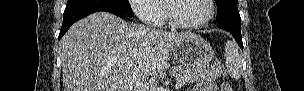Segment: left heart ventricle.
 I'll return each mask as SVG.
<instances>
[{"label":"left heart ventricle","instance_id":"obj_1","mask_svg":"<svg viewBox=\"0 0 304 91\" xmlns=\"http://www.w3.org/2000/svg\"><path fill=\"white\" fill-rule=\"evenodd\" d=\"M209 13L205 0H180L174 4V15L183 23L196 24L202 22Z\"/></svg>","mask_w":304,"mask_h":91}]
</instances>
